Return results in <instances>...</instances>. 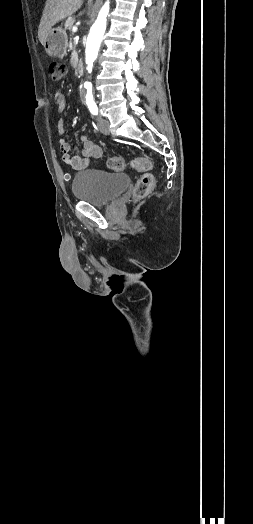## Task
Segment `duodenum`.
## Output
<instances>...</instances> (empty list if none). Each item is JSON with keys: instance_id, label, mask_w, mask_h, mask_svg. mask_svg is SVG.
I'll use <instances>...</instances> for the list:
<instances>
[{"instance_id": "1", "label": "duodenum", "mask_w": 253, "mask_h": 524, "mask_svg": "<svg viewBox=\"0 0 253 524\" xmlns=\"http://www.w3.org/2000/svg\"><path fill=\"white\" fill-rule=\"evenodd\" d=\"M83 70H84L83 63L82 62H78L77 65H76V72L80 74V73L83 72Z\"/></svg>"}]
</instances>
